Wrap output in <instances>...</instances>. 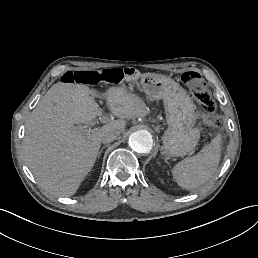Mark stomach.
Wrapping results in <instances>:
<instances>
[{"label": "stomach", "instance_id": "obj_1", "mask_svg": "<svg viewBox=\"0 0 258 258\" xmlns=\"http://www.w3.org/2000/svg\"><path fill=\"white\" fill-rule=\"evenodd\" d=\"M138 79L146 95L164 102L168 129L162 137V154L165 157H178L193 153L200 131L194 127L196 106L186 90L170 77L138 72L126 73L124 80L129 90Z\"/></svg>", "mask_w": 258, "mask_h": 258}]
</instances>
